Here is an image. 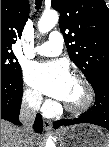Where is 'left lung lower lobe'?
Returning <instances> with one entry per match:
<instances>
[{"label": "left lung lower lobe", "instance_id": "0a47b994", "mask_svg": "<svg viewBox=\"0 0 109 147\" xmlns=\"http://www.w3.org/2000/svg\"><path fill=\"white\" fill-rule=\"evenodd\" d=\"M96 94V101L87 113L77 119H62L54 123V128L61 125L69 126L79 123H91L109 130V75L101 76L92 85Z\"/></svg>", "mask_w": 109, "mask_h": 147}]
</instances>
